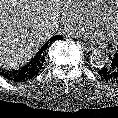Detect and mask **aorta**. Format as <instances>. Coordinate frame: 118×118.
Listing matches in <instances>:
<instances>
[{
	"mask_svg": "<svg viewBox=\"0 0 118 118\" xmlns=\"http://www.w3.org/2000/svg\"><path fill=\"white\" fill-rule=\"evenodd\" d=\"M108 56L100 50H94L90 55L91 65L95 68H102L108 62Z\"/></svg>",
	"mask_w": 118,
	"mask_h": 118,
	"instance_id": "1",
	"label": "aorta"
}]
</instances>
